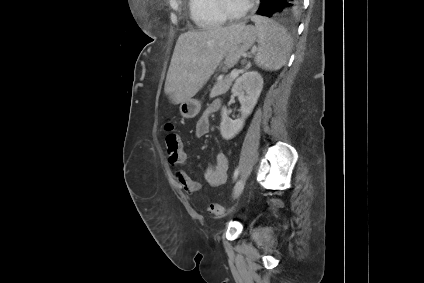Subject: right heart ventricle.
<instances>
[{"label": "right heart ventricle", "instance_id": "obj_1", "mask_svg": "<svg viewBox=\"0 0 424 283\" xmlns=\"http://www.w3.org/2000/svg\"><path fill=\"white\" fill-rule=\"evenodd\" d=\"M190 17L197 27L205 30L218 28L226 22L217 0H189Z\"/></svg>", "mask_w": 424, "mask_h": 283}]
</instances>
